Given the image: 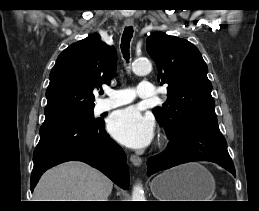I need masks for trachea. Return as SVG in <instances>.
<instances>
[{"label":"trachea","instance_id":"3493384b","mask_svg":"<svg viewBox=\"0 0 259 211\" xmlns=\"http://www.w3.org/2000/svg\"><path fill=\"white\" fill-rule=\"evenodd\" d=\"M132 36H133V28L126 27L124 29L122 39H121V50L126 60L129 59V46H130V41Z\"/></svg>","mask_w":259,"mask_h":211}]
</instances>
